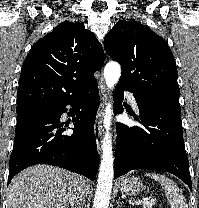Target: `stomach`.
Returning <instances> with one entry per match:
<instances>
[{"instance_id": "0dacf381", "label": "stomach", "mask_w": 199, "mask_h": 208, "mask_svg": "<svg viewBox=\"0 0 199 208\" xmlns=\"http://www.w3.org/2000/svg\"><path fill=\"white\" fill-rule=\"evenodd\" d=\"M143 183L137 177H123L119 181V190L121 193L135 196L143 191Z\"/></svg>"}]
</instances>
